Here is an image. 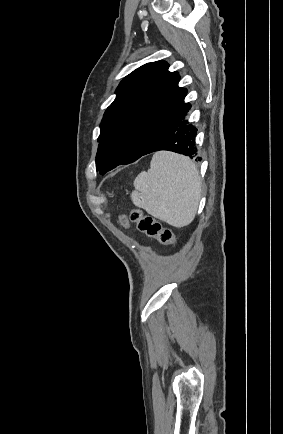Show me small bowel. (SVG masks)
<instances>
[{"label":"small bowel","instance_id":"c3829d8e","mask_svg":"<svg viewBox=\"0 0 283 434\" xmlns=\"http://www.w3.org/2000/svg\"><path fill=\"white\" fill-rule=\"evenodd\" d=\"M121 222L123 223V224H127V221H126V219L123 217V218H121Z\"/></svg>","mask_w":283,"mask_h":434}]
</instances>
